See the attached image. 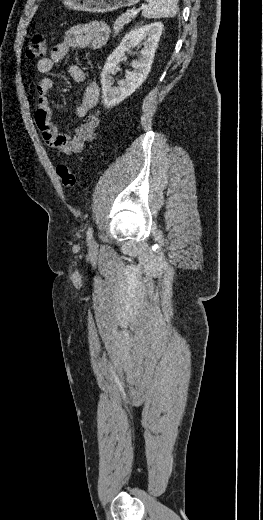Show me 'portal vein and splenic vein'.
Segmentation results:
<instances>
[{"mask_svg": "<svg viewBox=\"0 0 263 520\" xmlns=\"http://www.w3.org/2000/svg\"><path fill=\"white\" fill-rule=\"evenodd\" d=\"M146 6L145 5H142L141 8H138V9H135V10H132L130 13H128L129 15H133L135 16L141 9H144Z\"/></svg>", "mask_w": 263, "mask_h": 520, "instance_id": "18ae733b", "label": "portal vein and splenic vein"}]
</instances>
